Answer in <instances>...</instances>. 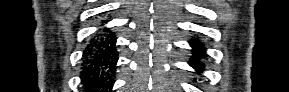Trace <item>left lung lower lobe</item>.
I'll return each mask as SVG.
<instances>
[{
	"instance_id": "0a47b994",
	"label": "left lung lower lobe",
	"mask_w": 289,
	"mask_h": 92,
	"mask_svg": "<svg viewBox=\"0 0 289 92\" xmlns=\"http://www.w3.org/2000/svg\"><path fill=\"white\" fill-rule=\"evenodd\" d=\"M189 44L192 47V53H193V58L190 60L189 64L192 66L194 69L198 71H202L204 68V65L200 62V57L204 55V45L199 42V40H191Z\"/></svg>"
}]
</instances>
